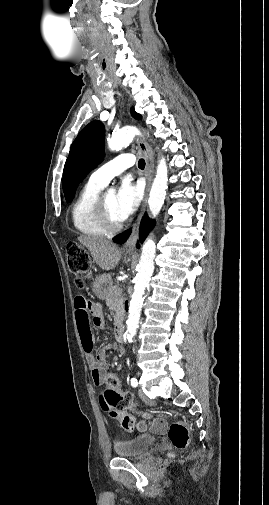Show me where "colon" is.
<instances>
[{
  "instance_id": "colon-1",
  "label": "colon",
  "mask_w": 269,
  "mask_h": 505,
  "mask_svg": "<svg viewBox=\"0 0 269 505\" xmlns=\"http://www.w3.org/2000/svg\"><path fill=\"white\" fill-rule=\"evenodd\" d=\"M66 260L70 272L76 277V285L83 287L86 279L90 276L91 262L88 253L79 245L71 244L67 247ZM103 384L105 389L99 397L101 407L112 418L119 419L126 431H132L136 425L135 416L128 412L133 410L132 395L118 391L120 381L113 373H107ZM141 413L144 416H150L149 412L143 411ZM168 437L174 448L185 449L190 441L187 423L183 421L172 422L168 427Z\"/></svg>"
}]
</instances>
